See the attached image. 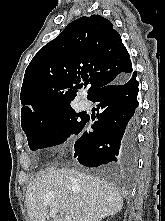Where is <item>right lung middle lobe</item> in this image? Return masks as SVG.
<instances>
[{
  "mask_svg": "<svg viewBox=\"0 0 165 221\" xmlns=\"http://www.w3.org/2000/svg\"><path fill=\"white\" fill-rule=\"evenodd\" d=\"M86 119L67 106L42 113L21 125L30 149L37 150L63 143L67 137L78 133Z\"/></svg>",
  "mask_w": 165,
  "mask_h": 221,
  "instance_id": "obj_1",
  "label": "right lung middle lobe"
}]
</instances>
